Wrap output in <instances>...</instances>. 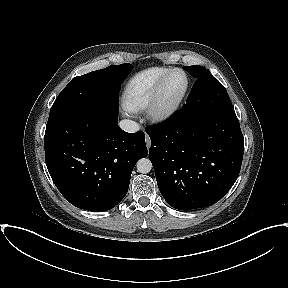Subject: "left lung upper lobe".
Returning a JSON list of instances; mask_svg holds the SVG:
<instances>
[{"mask_svg":"<svg viewBox=\"0 0 288 288\" xmlns=\"http://www.w3.org/2000/svg\"><path fill=\"white\" fill-rule=\"evenodd\" d=\"M195 81L188 95L183 110L203 112H217L230 117H236L234 108L225 87L214 79L212 74L199 65L184 66Z\"/></svg>","mask_w":288,"mask_h":288,"instance_id":"5c2ea615","label":"left lung upper lobe"}]
</instances>
